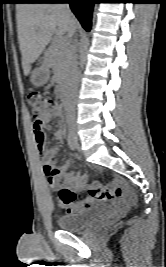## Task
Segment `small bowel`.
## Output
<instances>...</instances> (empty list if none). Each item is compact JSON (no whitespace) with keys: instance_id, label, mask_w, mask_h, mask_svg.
<instances>
[{"instance_id":"c3829d8e","label":"small bowel","mask_w":166,"mask_h":267,"mask_svg":"<svg viewBox=\"0 0 166 267\" xmlns=\"http://www.w3.org/2000/svg\"><path fill=\"white\" fill-rule=\"evenodd\" d=\"M60 114H61L60 105H57L55 110H53L52 112L45 114L41 119L43 130L46 128L49 122H51L54 118H56ZM33 132L35 135L37 148L39 149V151H44V143L43 145L39 144L38 137H37L38 128L34 121H33ZM54 137L57 141L63 140L64 133H63L62 128H59L58 130L55 131ZM54 154H55V150H50V151L45 152L46 157H48L50 160H53ZM69 166H70V163L65 162L60 167L56 168V171H57L56 176L54 177L47 176L49 188L51 190H54L57 186L58 181L61 180L67 189L71 191L88 189L89 195L83 201H81L78 205L65 204L58 198L59 204L63 208H65L66 213L68 214L74 213V212L79 211L80 209L88 208L96 199H113L115 197L120 196L123 193H127L129 199L134 200L135 198L134 195L127 192V188L121 180L119 179L114 180L112 185L105 189H103V186H92L91 188H89L87 183L78 174L68 173Z\"/></svg>"}]
</instances>
